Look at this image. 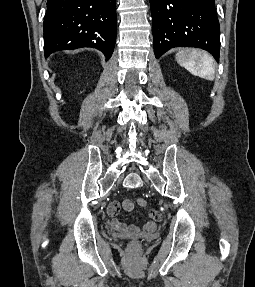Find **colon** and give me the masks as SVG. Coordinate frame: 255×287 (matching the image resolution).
Returning a JSON list of instances; mask_svg holds the SVG:
<instances>
[{"label":"colon","mask_w":255,"mask_h":287,"mask_svg":"<svg viewBox=\"0 0 255 287\" xmlns=\"http://www.w3.org/2000/svg\"><path fill=\"white\" fill-rule=\"evenodd\" d=\"M137 202L140 206H146L147 205V201L143 198H138Z\"/></svg>","instance_id":"5ec220e1"}]
</instances>
